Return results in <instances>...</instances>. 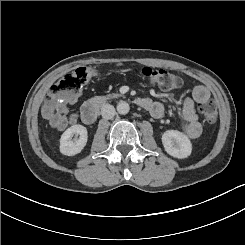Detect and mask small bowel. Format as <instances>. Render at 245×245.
I'll return each instance as SVG.
<instances>
[{
  "label": "small bowel",
  "mask_w": 245,
  "mask_h": 245,
  "mask_svg": "<svg viewBox=\"0 0 245 245\" xmlns=\"http://www.w3.org/2000/svg\"><path fill=\"white\" fill-rule=\"evenodd\" d=\"M210 97L209 91L204 86H196L192 92L191 97L183 100L181 105V114L184 119L183 131L190 138H197L202 133V126L199 122L198 115L195 110V103H202L207 101ZM76 97L66 101H61L56 112L48 117L49 124L59 130L63 131L68 126L77 122L78 117L74 113H70L69 104L73 103ZM153 106L149 109L153 117L159 118L164 113V106L159 102H152Z\"/></svg>",
  "instance_id": "small-bowel-1"
}]
</instances>
